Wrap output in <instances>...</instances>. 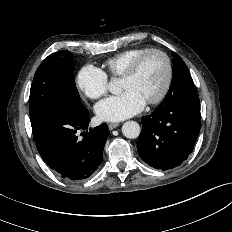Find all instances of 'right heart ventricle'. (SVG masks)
<instances>
[{
	"label": "right heart ventricle",
	"mask_w": 232,
	"mask_h": 232,
	"mask_svg": "<svg viewBox=\"0 0 232 232\" xmlns=\"http://www.w3.org/2000/svg\"><path fill=\"white\" fill-rule=\"evenodd\" d=\"M148 48H132L122 51L104 62L106 72L111 77H121L130 63Z\"/></svg>",
	"instance_id": "right-heart-ventricle-1"
}]
</instances>
